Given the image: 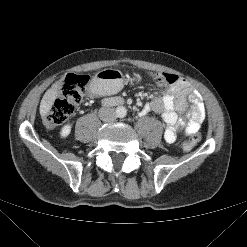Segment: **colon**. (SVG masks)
Segmentation results:
<instances>
[{
	"instance_id": "1",
	"label": "colon",
	"mask_w": 247,
	"mask_h": 247,
	"mask_svg": "<svg viewBox=\"0 0 247 247\" xmlns=\"http://www.w3.org/2000/svg\"><path fill=\"white\" fill-rule=\"evenodd\" d=\"M150 79L157 85H172L178 81V77L170 73H152ZM89 77L79 74H68L57 88V97L45 116V122L53 127L67 121L82 102L88 89ZM201 140L200 133H194L188 140L182 143L186 151L193 149Z\"/></svg>"
}]
</instances>
